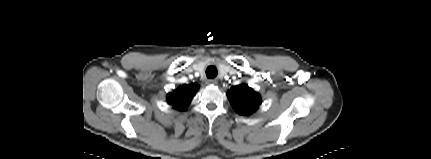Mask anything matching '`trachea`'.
<instances>
[{"instance_id":"obj_1","label":"trachea","mask_w":431,"mask_h":159,"mask_svg":"<svg viewBox=\"0 0 431 159\" xmlns=\"http://www.w3.org/2000/svg\"><path fill=\"white\" fill-rule=\"evenodd\" d=\"M218 74V71L215 66H208L206 69V76L208 78H215Z\"/></svg>"}]
</instances>
